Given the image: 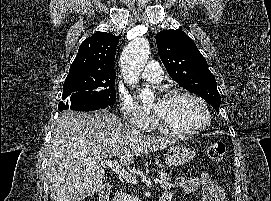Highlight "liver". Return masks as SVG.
<instances>
[{"mask_svg":"<svg viewBox=\"0 0 271 201\" xmlns=\"http://www.w3.org/2000/svg\"><path fill=\"white\" fill-rule=\"evenodd\" d=\"M177 140L149 136L107 110L65 111L53 126L47 147L52 201H82L104 185L100 158L117 156L123 166L140 154L156 152Z\"/></svg>","mask_w":271,"mask_h":201,"instance_id":"6515ba94","label":"liver"}]
</instances>
